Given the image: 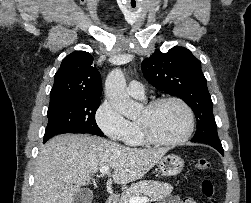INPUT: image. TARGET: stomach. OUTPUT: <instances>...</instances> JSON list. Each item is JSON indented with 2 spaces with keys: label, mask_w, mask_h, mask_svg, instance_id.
Returning a JSON list of instances; mask_svg holds the SVG:
<instances>
[{
  "label": "stomach",
  "mask_w": 251,
  "mask_h": 203,
  "mask_svg": "<svg viewBox=\"0 0 251 203\" xmlns=\"http://www.w3.org/2000/svg\"><path fill=\"white\" fill-rule=\"evenodd\" d=\"M184 166V161L181 157L170 154L162 157L158 162V168L164 176H176Z\"/></svg>",
  "instance_id": "obj_1"
}]
</instances>
